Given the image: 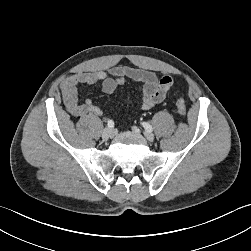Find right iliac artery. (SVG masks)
Returning <instances> with one entry per match:
<instances>
[{
	"instance_id": "1",
	"label": "right iliac artery",
	"mask_w": 251,
	"mask_h": 251,
	"mask_svg": "<svg viewBox=\"0 0 251 251\" xmlns=\"http://www.w3.org/2000/svg\"><path fill=\"white\" fill-rule=\"evenodd\" d=\"M107 126L112 129L114 127V122L112 120H108Z\"/></svg>"
}]
</instances>
